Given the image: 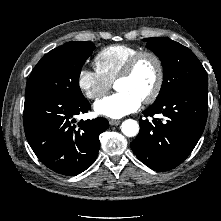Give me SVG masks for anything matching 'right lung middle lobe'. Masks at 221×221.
<instances>
[{"mask_svg": "<svg viewBox=\"0 0 221 221\" xmlns=\"http://www.w3.org/2000/svg\"><path fill=\"white\" fill-rule=\"evenodd\" d=\"M94 49L95 45L90 41H73L51 50L33 69L26 91L38 90L72 100L84 99L79 87V76L83 64Z\"/></svg>", "mask_w": 221, "mask_h": 221, "instance_id": "dd1d6c3e", "label": "right lung middle lobe"}]
</instances>
